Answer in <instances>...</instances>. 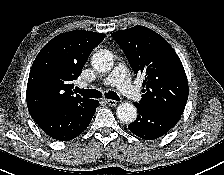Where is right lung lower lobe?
<instances>
[{"label": "right lung lower lobe", "instance_id": "obj_1", "mask_svg": "<svg viewBox=\"0 0 224 175\" xmlns=\"http://www.w3.org/2000/svg\"><path fill=\"white\" fill-rule=\"evenodd\" d=\"M97 107L98 101L89 100L72 106L55 108L34 120L53 139L68 141L80 135L88 127Z\"/></svg>", "mask_w": 224, "mask_h": 175}]
</instances>
